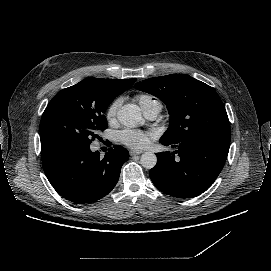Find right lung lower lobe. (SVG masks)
Here are the masks:
<instances>
[{
	"label": "right lung lower lobe",
	"instance_id": "right-lung-lower-lobe-1",
	"mask_svg": "<svg viewBox=\"0 0 271 271\" xmlns=\"http://www.w3.org/2000/svg\"><path fill=\"white\" fill-rule=\"evenodd\" d=\"M90 145L54 141L41 145L44 172L54 189L65 199L90 203L106 196L118 182L129 152L116 145L101 159Z\"/></svg>",
	"mask_w": 271,
	"mask_h": 271
}]
</instances>
